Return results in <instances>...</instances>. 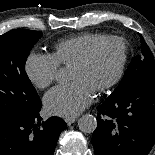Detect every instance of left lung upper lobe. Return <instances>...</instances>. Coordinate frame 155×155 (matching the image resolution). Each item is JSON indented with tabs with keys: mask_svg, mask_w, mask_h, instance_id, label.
<instances>
[{
	"mask_svg": "<svg viewBox=\"0 0 155 155\" xmlns=\"http://www.w3.org/2000/svg\"><path fill=\"white\" fill-rule=\"evenodd\" d=\"M141 51L135 56L117 89L114 93L123 92L131 87L144 84L150 79L155 78V61L153 54L146 44L142 35H140Z\"/></svg>",
	"mask_w": 155,
	"mask_h": 155,
	"instance_id": "left-lung-upper-lobe-1",
	"label": "left lung upper lobe"
}]
</instances>
